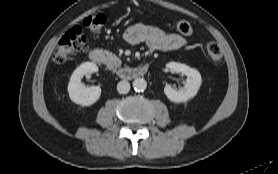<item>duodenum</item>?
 <instances>
[{"mask_svg":"<svg viewBox=\"0 0 278 174\" xmlns=\"http://www.w3.org/2000/svg\"><path fill=\"white\" fill-rule=\"evenodd\" d=\"M89 58L92 62L100 64L103 62L104 55L101 50L93 49L89 52ZM147 72V65L141 67H123L118 71V75L122 79H135L142 77Z\"/></svg>","mask_w":278,"mask_h":174,"instance_id":"duodenum-1","label":"duodenum"}]
</instances>
